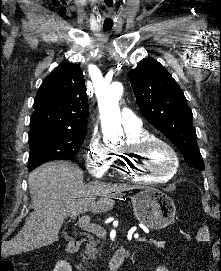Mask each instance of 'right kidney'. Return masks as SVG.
<instances>
[{
    "instance_id": "right-kidney-1",
    "label": "right kidney",
    "mask_w": 221,
    "mask_h": 271,
    "mask_svg": "<svg viewBox=\"0 0 221 271\" xmlns=\"http://www.w3.org/2000/svg\"><path fill=\"white\" fill-rule=\"evenodd\" d=\"M53 271H72V267H71L69 261H66V259H59V261H57Z\"/></svg>"
}]
</instances>
